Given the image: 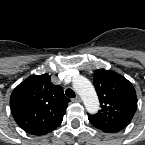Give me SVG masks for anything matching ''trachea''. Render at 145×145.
<instances>
[{
	"mask_svg": "<svg viewBox=\"0 0 145 145\" xmlns=\"http://www.w3.org/2000/svg\"><path fill=\"white\" fill-rule=\"evenodd\" d=\"M65 94L68 98H74L76 96L75 92L70 88L65 91Z\"/></svg>",
	"mask_w": 145,
	"mask_h": 145,
	"instance_id": "3493384b",
	"label": "trachea"
}]
</instances>
